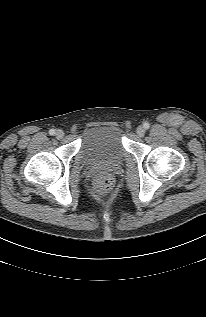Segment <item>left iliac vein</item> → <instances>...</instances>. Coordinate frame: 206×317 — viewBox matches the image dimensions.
<instances>
[{
    "label": "left iliac vein",
    "instance_id": "1",
    "mask_svg": "<svg viewBox=\"0 0 206 317\" xmlns=\"http://www.w3.org/2000/svg\"><path fill=\"white\" fill-rule=\"evenodd\" d=\"M145 128L143 126H139L137 129H136V133L138 136L140 137H143L144 134H145Z\"/></svg>",
    "mask_w": 206,
    "mask_h": 317
}]
</instances>
